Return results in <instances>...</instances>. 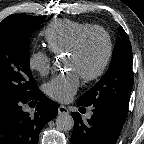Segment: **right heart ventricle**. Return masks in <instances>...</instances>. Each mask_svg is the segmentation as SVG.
Returning <instances> with one entry per match:
<instances>
[{
    "label": "right heart ventricle",
    "instance_id": "e07e8e85",
    "mask_svg": "<svg viewBox=\"0 0 144 144\" xmlns=\"http://www.w3.org/2000/svg\"><path fill=\"white\" fill-rule=\"evenodd\" d=\"M91 26L90 23L61 19L50 23L43 36L50 51L57 54L68 51L77 36Z\"/></svg>",
    "mask_w": 144,
    "mask_h": 144
}]
</instances>
